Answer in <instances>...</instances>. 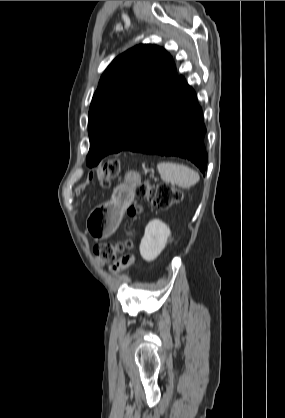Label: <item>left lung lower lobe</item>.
<instances>
[{
	"instance_id": "0a47b994",
	"label": "left lung lower lobe",
	"mask_w": 285,
	"mask_h": 418,
	"mask_svg": "<svg viewBox=\"0 0 285 418\" xmlns=\"http://www.w3.org/2000/svg\"><path fill=\"white\" fill-rule=\"evenodd\" d=\"M205 133L196 93L178 76L123 150L179 156L204 172L207 164Z\"/></svg>"
}]
</instances>
